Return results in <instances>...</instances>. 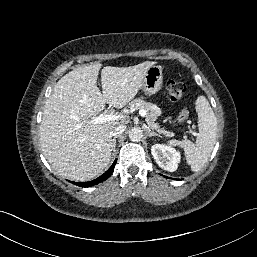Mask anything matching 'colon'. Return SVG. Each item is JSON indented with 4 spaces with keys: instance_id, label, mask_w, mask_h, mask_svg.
Returning a JSON list of instances; mask_svg holds the SVG:
<instances>
[{
    "instance_id": "5ec220e1",
    "label": "colon",
    "mask_w": 257,
    "mask_h": 257,
    "mask_svg": "<svg viewBox=\"0 0 257 257\" xmlns=\"http://www.w3.org/2000/svg\"><path fill=\"white\" fill-rule=\"evenodd\" d=\"M167 92L169 95V98L173 101L180 100L185 92H186V86L183 82L177 81V80H169L167 82ZM178 119L180 122H186L188 119V111L182 110L179 113Z\"/></svg>"
}]
</instances>
